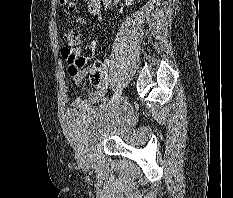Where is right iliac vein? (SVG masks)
Returning <instances> with one entry per match:
<instances>
[{
  "instance_id": "63e3f726",
  "label": "right iliac vein",
  "mask_w": 233,
  "mask_h": 198,
  "mask_svg": "<svg viewBox=\"0 0 233 198\" xmlns=\"http://www.w3.org/2000/svg\"><path fill=\"white\" fill-rule=\"evenodd\" d=\"M121 100H122V97L119 98V99H117V100L110 106V108H111V109H116V108H118L119 105H120Z\"/></svg>"
}]
</instances>
